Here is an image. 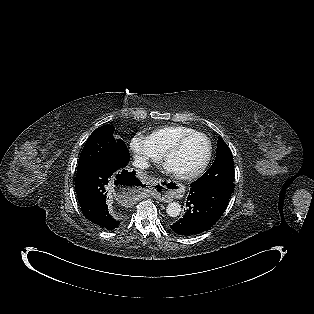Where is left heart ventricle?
Masks as SVG:
<instances>
[{
	"label": "left heart ventricle",
	"instance_id": "b2bd125f",
	"mask_svg": "<svg viewBox=\"0 0 314 314\" xmlns=\"http://www.w3.org/2000/svg\"><path fill=\"white\" fill-rule=\"evenodd\" d=\"M208 155V143L202 136L188 139L181 150L172 156L168 166L176 173H189L198 169Z\"/></svg>",
	"mask_w": 314,
	"mask_h": 314
}]
</instances>
